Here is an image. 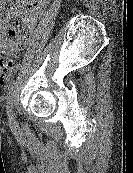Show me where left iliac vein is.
<instances>
[{"mask_svg": "<svg viewBox=\"0 0 133 173\" xmlns=\"http://www.w3.org/2000/svg\"><path fill=\"white\" fill-rule=\"evenodd\" d=\"M7 117H8V121H9L10 124H15L16 123L15 112H14L13 102L12 101L10 102V104L8 106Z\"/></svg>", "mask_w": 133, "mask_h": 173, "instance_id": "left-iliac-vein-1", "label": "left iliac vein"}]
</instances>
